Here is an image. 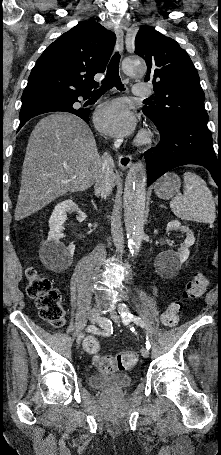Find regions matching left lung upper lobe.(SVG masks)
I'll list each match as a JSON object with an SVG mask.
<instances>
[{
    "label": "left lung upper lobe",
    "mask_w": 221,
    "mask_h": 455,
    "mask_svg": "<svg viewBox=\"0 0 221 455\" xmlns=\"http://www.w3.org/2000/svg\"><path fill=\"white\" fill-rule=\"evenodd\" d=\"M135 53L146 61L145 82L154 87L153 102L143 107V113L163 128L179 122L207 126L204 92L187 52L173 39L143 27L136 35Z\"/></svg>",
    "instance_id": "1"
}]
</instances>
